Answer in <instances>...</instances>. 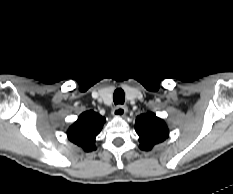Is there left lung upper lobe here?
Masks as SVG:
<instances>
[{
	"label": "left lung upper lobe",
	"instance_id": "1",
	"mask_svg": "<svg viewBox=\"0 0 233 194\" xmlns=\"http://www.w3.org/2000/svg\"><path fill=\"white\" fill-rule=\"evenodd\" d=\"M135 130L139 135L140 148L149 151L154 145L164 141L169 131L162 119L154 113L141 114L136 118Z\"/></svg>",
	"mask_w": 233,
	"mask_h": 194
}]
</instances>
